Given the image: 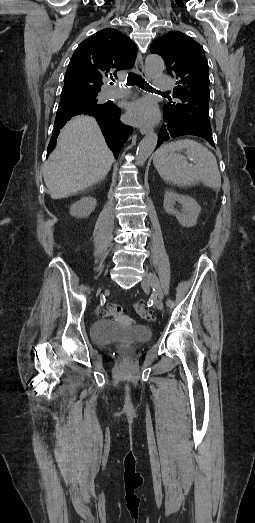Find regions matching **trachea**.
Here are the masks:
<instances>
[{
	"label": "trachea",
	"instance_id": "obj_1",
	"mask_svg": "<svg viewBox=\"0 0 255 523\" xmlns=\"http://www.w3.org/2000/svg\"><path fill=\"white\" fill-rule=\"evenodd\" d=\"M111 85L113 83L111 82ZM126 85H137V87L142 88L143 90H146L147 92H160V90H156L155 88L151 87L149 83L145 82L143 78L139 75H136L135 73H129L127 77V83ZM166 93V92H162Z\"/></svg>",
	"mask_w": 255,
	"mask_h": 523
}]
</instances>
